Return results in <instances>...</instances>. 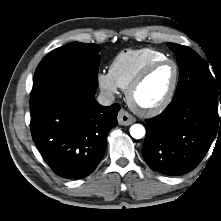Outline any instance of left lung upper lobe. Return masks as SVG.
<instances>
[{
    "mask_svg": "<svg viewBox=\"0 0 221 221\" xmlns=\"http://www.w3.org/2000/svg\"><path fill=\"white\" fill-rule=\"evenodd\" d=\"M176 54L179 66V80L175 95L177 98L188 93L205 95L218 103L221 102L220 83L215 82L211 72L206 68L200 56L191 48L175 43H167ZM218 84V86H217Z\"/></svg>",
    "mask_w": 221,
    "mask_h": 221,
    "instance_id": "5c2ea615",
    "label": "left lung upper lobe"
}]
</instances>
